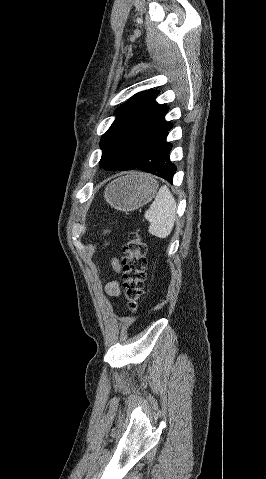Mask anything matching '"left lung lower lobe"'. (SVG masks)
<instances>
[{"mask_svg":"<svg viewBox=\"0 0 266 479\" xmlns=\"http://www.w3.org/2000/svg\"><path fill=\"white\" fill-rule=\"evenodd\" d=\"M173 127V124L167 122L165 131L159 142V151L153 159L143 160L137 168L142 171L154 174L156 176L166 179L168 182L172 183L173 176L177 170L176 166L170 161V151L172 150V144L167 142V135L169 130ZM131 170V169H127ZM125 171V170H124Z\"/></svg>","mask_w":266,"mask_h":479,"instance_id":"0a47b994","label":"left lung lower lobe"}]
</instances>
